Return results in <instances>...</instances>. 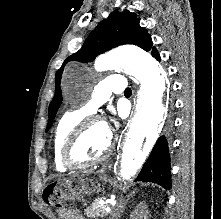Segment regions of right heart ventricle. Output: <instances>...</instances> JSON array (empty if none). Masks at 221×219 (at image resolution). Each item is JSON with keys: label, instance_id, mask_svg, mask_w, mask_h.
Returning a JSON list of instances; mask_svg holds the SVG:
<instances>
[{"label": "right heart ventricle", "instance_id": "e07e8e85", "mask_svg": "<svg viewBox=\"0 0 221 219\" xmlns=\"http://www.w3.org/2000/svg\"><path fill=\"white\" fill-rule=\"evenodd\" d=\"M87 113L82 110H72L64 113L58 120L53 134V163L59 172H65L70 168L62 161V149L72 130L84 119Z\"/></svg>", "mask_w": 221, "mask_h": 219}]
</instances>
